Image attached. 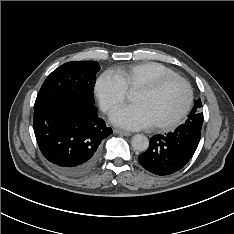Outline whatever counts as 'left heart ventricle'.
I'll list each match as a JSON object with an SVG mask.
<instances>
[{
  "label": "left heart ventricle",
  "mask_w": 234,
  "mask_h": 234,
  "mask_svg": "<svg viewBox=\"0 0 234 234\" xmlns=\"http://www.w3.org/2000/svg\"><path fill=\"white\" fill-rule=\"evenodd\" d=\"M185 101V87L178 81L171 82L152 94L135 92L133 95V102L143 107L152 125L175 117Z\"/></svg>",
  "instance_id": "b2bd125f"
}]
</instances>
